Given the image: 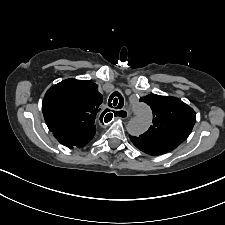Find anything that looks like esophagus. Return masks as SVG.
Instances as JSON below:
<instances>
[{
	"instance_id": "esophagus-1",
	"label": "esophagus",
	"mask_w": 225,
	"mask_h": 225,
	"mask_svg": "<svg viewBox=\"0 0 225 225\" xmlns=\"http://www.w3.org/2000/svg\"><path fill=\"white\" fill-rule=\"evenodd\" d=\"M115 114H116V118H120V119H127L130 115L129 111L126 108L116 111L114 115Z\"/></svg>"
}]
</instances>
